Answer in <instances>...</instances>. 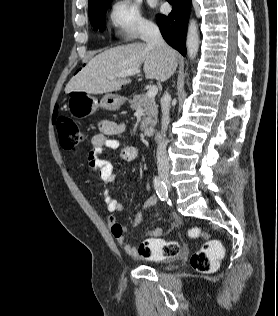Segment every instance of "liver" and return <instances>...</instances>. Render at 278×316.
Instances as JSON below:
<instances>
[{"label":"liver","mask_w":278,"mask_h":316,"mask_svg":"<svg viewBox=\"0 0 278 316\" xmlns=\"http://www.w3.org/2000/svg\"><path fill=\"white\" fill-rule=\"evenodd\" d=\"M142 64L147 79L165 81L177 68V55L171 48L168 55H165L158 47L145 43L114 47L91 59L71 78L65 92L103 94L121 90L131 80L126 77L108 79V76L139 69Z\"/></svg>","instance_id":"obj_1"}]
</instances>
